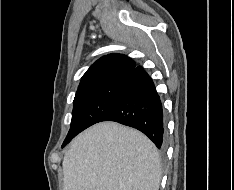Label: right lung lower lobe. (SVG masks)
I'll return each instance as SVG.
<instances>
[{"label": "right lung lower lobe", "mask_w": 234, "mask_h": 190, "mask_svg": "<svg viewBox=\"0 0 234 190\" xmlns=\"http://www.w3.org/2000/svg\"><path fill=\"white\" fill-rule=\"evenodd\" d=\"M115 121L143 132L157 148L164 147L165 122L160 97L142 67L127 75L111 108L99 122Z\"/></svg>", "instance_id": "obj_1"}]
</instances>
